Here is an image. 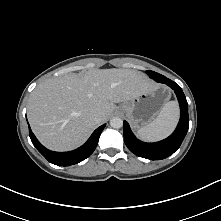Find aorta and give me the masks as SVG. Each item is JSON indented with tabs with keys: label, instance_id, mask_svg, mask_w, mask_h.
Masks as SVG:
<instances>
[{
	"label": "aorta",
	"instance_id": "aorta-1",
	"mask_svg": "<svg viewBox=\"0 0 221 221\" xmlns=\"http://www.w3.org/2000/svg\"><path fill=\"white\" fill-rule=\"evenodd\" d=\"M110 125L111 127L113 128H121L123 126V120L119 117H113L111 120H110Z\"/></svg>",
	"mask_w": 221,
	"mask_h": 221
}]
</instances>
